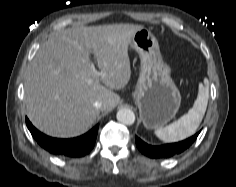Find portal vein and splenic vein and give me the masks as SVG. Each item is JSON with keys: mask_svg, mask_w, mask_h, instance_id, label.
I'll use <instances>...</instances> for the list:
<instances>
[{"mask_svg": "<svg viewBox=\"0 0 236 187\" xmlns=\"http://www.w3.org/2000/svg\"><path fill=\"white\" fill-rule=\"evenodd\" d=\"M90 66H91V70L95 76L99 77V76L103 75L102 72L97 71L93 62L90 63Z\"/></svg>", "mask_w": 236, "mask_h": 187, "instance_id": "obj_1", "label": "portal vein and splenic vein"}]
</instances>
